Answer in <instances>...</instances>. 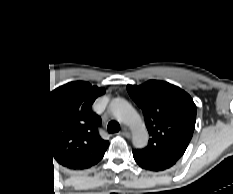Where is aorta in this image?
I'll use <instances>...</instances> for the list:
<instances>
[{"mask_svg": "<svg viewBox=\"0 0 233 194\" xmlns=\"http://www.w3.org/2000/svg\"><path fill=\"white\" fill-rule=\"evenodd\" d=\"M110 108L120 121L128 125L133 131V145L144 147L148 142V132L140 115L124 99L112 101Z\"/></svg>", "mask_w": 233, "mask_h": 194, "instance_id": "obj_1", "label": "aorta"}]
</instances>
